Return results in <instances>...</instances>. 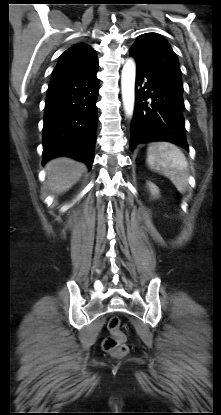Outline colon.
<instances>
[{"label":"colon","instance_id":"colon-1","mask_svg":"<svg viewBox=\"0 0 221 415\" xmlns=\"http://www.w3.org/2000/svg\"><path fill=\"white\" fill-rule=\"evenodd\" d=\"M107 328L110 336L103 341V349L109 354L122 357L127 354L128 347L124 344V335L120 331V319L116 316L108 320Z\"/></svg>","mask_w":221,"mask_h":415}]
</instances>
